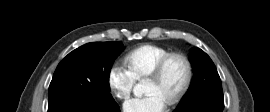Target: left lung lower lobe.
Wrapping results in <instances>:
<instances>
[{
  "mask_svg": "<svg viewBox=\"0 0 270 112\" xmlns=\"http://www.w3.org/2000/svg\"><path fill=\"white\" fill-rule=\"evenodd\" d=\"M223 108L224 100L208 99L186 107L177 108L174 112H222Z\"/></svg>",
  "mask_w": 270,
  "mask_h": 112,
  "instance_id": "1",
  "label": "left lung lower lobe"
}]
</instances>
